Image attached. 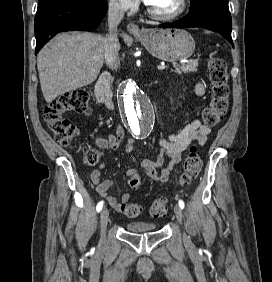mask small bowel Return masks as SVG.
I'll use <instances>...</instances> for the list:
<instances>
[{
  "label": "small bowel",
  "mask_w": 272,
  "mask_h": 282,
  "mask_svg": "<svg viewBox=\"0 0 272 282\" xmlns=\"http://www.w3.org/2000/svg\"><path fill=\"white\" fill-rule=\"evenodd\" d=\"M198 94L204 93V85L199 82L196 87ZM210 133V128L206 125H202L199 120H194L190 124L183 127L176 133H170L165 137H161L159 140L160 152L156 160L144 159L141 161L142 171L146 173L152 180L160 183H166L169 180L173 167L181 162L182 153L193 143L204 144L207 136ZM125 137L124 130L117 126L115 133H106L102 136L96 137L97 145L110 152L120 147ZM136 148V141L129 140L125 147L124 152L131 156L132 160L136 162V158L133 152ZM170 157V162L164 165L166 157ZM160 174L157 173L156 168L161 167ZM104 167L102 164L99 168L93 170L89 175V181L94 185L95 191L103 197L114 209L121 211V208L127 204L130 200V194L124 193L121 196V200H116L113 196L108 194L109 189L114 184L113 179H101V171ZM130 175L137 174L136 171H130ZM137 190L139 187H132Z\"/></svg>",
  "instance_id": "c3829d8e"
}]
</instances>
